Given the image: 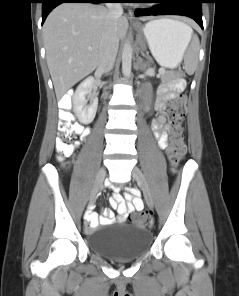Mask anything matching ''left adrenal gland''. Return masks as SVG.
I'll list each match as a JSON object with an SVG mask.
<instances>
[{
	"instance_id": "obj_1",
	"label": "left adrenal gland",
	"mask_w": 239,
	"mask_h": 296,
	"mask_svg": "<svg viewBox=\"0 0 239 296\" xmlns=\"http://www.w3.org/2000/svg\"><path fill=\"white\" fill-rule=\"evenodd\" d=\"M141 62H142V60H141V58H139V68L141 69Z\"/></svg>"
}]
</instances>
